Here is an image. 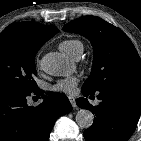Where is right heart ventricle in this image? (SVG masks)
Here are the masks:
<instances>
[{"mask_svg": "<svg viewBox=\"0 0 141 141\" xmlns=\"http://www.w3.org/2000/svg\"><path fill=\"white\" fill-rule=\"evenodd\" d=\"M59 49L67 56L75 59L83 53L84 45L78 39H67L59 44Z\"/></svg>", "mask_w": 141, "mask_h": 141, "instance_id": "obj_1", "label": "right heart ventricle"}]
</instances>
